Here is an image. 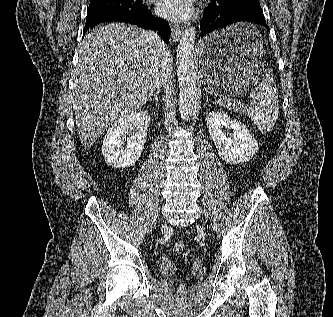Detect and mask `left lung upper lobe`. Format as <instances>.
I'll use <instances>...</instances> for the list:
<instances>
[{"label":"left lung upper lobe","instance_id":"1","mask_svg":"<svg viewBox=\"0 0 333 317\" xmlns=\"http://www.w3.org/2000/svg\"><path fill=\"white\" fill-rule=\"evenodd\" d=\"M211 2L221 1V0H210ZM228 2H234V3H254L259 2V0H224Z\"/></svg>","mask_w":333,"mask_h":317}]
</instances>
